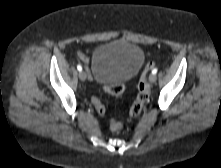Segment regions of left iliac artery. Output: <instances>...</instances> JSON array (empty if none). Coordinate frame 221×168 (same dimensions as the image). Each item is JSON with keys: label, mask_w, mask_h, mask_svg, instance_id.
Wrapping results in <instances>:
<instances>
[{"label": "left iliac artery", "mask_w": 221, "mask_h": 168, "mask_svg": "<svg viewBox=\"0 0 221 168\" xmlns=\"http://www.w3.org/2000/svg\"><path fill=\"white\" fill-rule=\"evenodd\" d=\"M157 71H158V69H157V68L153 69V70H152V74H156V73H157Z\"/></svg>", "instance_id": "left-iliac-artery-1"}]
</instances>
